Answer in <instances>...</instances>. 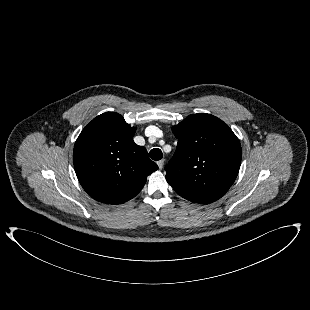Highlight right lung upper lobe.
I'll return each mask as SVG.
<instances>
[{
    "label": "right lung upper lobe",
    "instance_id": "right-lung-upper-lobe-1",
    "mask_svg": "<svg viewBox=\"0 0 310 310\" xmlns=\"http://www.w3.org/2000/svg\"><path fill=\"white\" fill-rule=\"evenodd\" d=\"M136 128L115 112L94 118L80 133L73 151L77 178L95 200L121 204L135 197L158 169L145 147L133 141Z\"/></svg>",
    "mask_w": 310,
    "mask_h": 310
}]
</instances>
